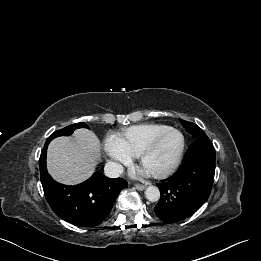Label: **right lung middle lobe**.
Segmentation results:
<instances>
[{
  "label": "right lung middle lobe",
  "mask_w": 261,
  "mask_h": 261,
  "mask_svg": "<svg viewBox=\"0 0 261 261\" xmlns=\"http://www.w3.org/2000/svg\"><path fill=\"white\" fill-rule=\"evenodd\" d=\"M78 128H89V127L85 123H76L73 125H69L61 130L55 131L53 134L50 135L48 140L51 141L52 139H54L58 136H68V135L72 134L75 129H78Z\"/></svg>",
  "instance_id": "1"
}]
</instances>
